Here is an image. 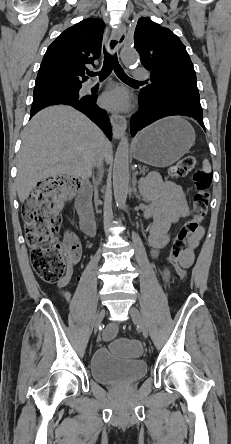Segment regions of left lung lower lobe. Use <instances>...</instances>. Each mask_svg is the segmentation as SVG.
Listing matches in <instances>:
<instances>
[{"instance_id":"obj_1","label":"left lung lower lobe","mask_w":231,"mask_h":444,"mask_svg":"<svg viewBox=\"0 0 231 444\" xmlns=\"http://www.w3.org/2000/svg\"><path fill=\"white\" fill-rule=\"evenodd\" d=\"M139 99L141 109L138 115L133 116L130 121L132 136L154 121L171 115L192 117L197 120L205 130L202 107L199 101L173 98L158 99L155 97H147L141 92Z\"/></svg>"}]
</instances>
